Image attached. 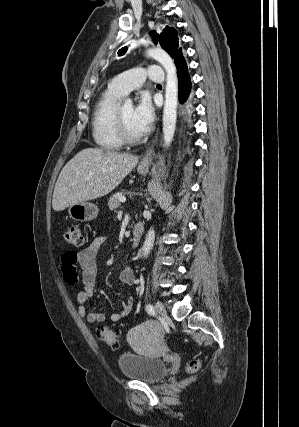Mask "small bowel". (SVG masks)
<instances>
[{
    "mask_svg": "<svg viewBox=\"0 0 299 427\" xmlns=\"http://www.w3.org/2000/svg\"><path fill=\"white\" fill-rule=\"evenodd\" d=\"M104 235H98L92 241L78 252H65L61 256L62 272L64 280L69 285H76L80 280L83 284V289L77 294V302L79 305L78 313L85 318L89 323H102L106 320V316L100 312H91L86 308L87 302L94 294V288L97 281L99 264L98 254L104 242ZM78 266L82 269L81 277L78 274ZM120 281L127 285L135 284V275L130 267L124 268L119 275ZM133 307V299L128 297L122 301L121 308L118 312L110 316V320L118 322L127 317Z\"/></svg>",
    "mask_w": 299,
    "mask_h": 427,
    "instance_id": "1",
    "label": "small bowel"
}]
</instances>
